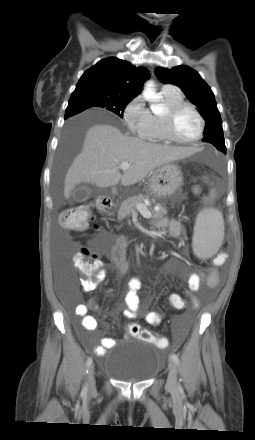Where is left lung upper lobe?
Segmentation results:
<instances>
[{
  "label": "left lung upper lobe",
  "mask_w": 255,
  "mask_h": 440,
  "mask_svg": "<svg viewBox=\"0 0 255 440\" xmlns=\"http://www.w3.org/2000/svg\"><path fill=\"white\" fill-rule=\"evenodd\" d=\"M155 74L161 82L174 84L181 88L186 97L199 109V113L205 119L206 127L204 129L203 141L213 144L218 150L226 153L222 120L217 109L214 94L200 75L185 65L172 69L158 67L155 69Z\"/></svg>",
  "instance_id": "left-lung-upper-lobe-1"
}]
</instances>
